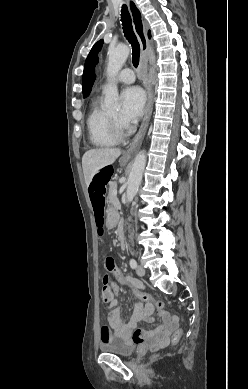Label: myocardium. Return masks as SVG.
Segmentation results:
<instances>
[{
    "instance_id": "obj_1",
    "label": "myocardium",
    "mask_w": 248,
    "mask_h": 389,
    "mask_svg": "<svg viewBox=\"0 0 248 389\" xmlns=\"http://www.w3.org/2000/svg\"><path fill=\"white\" fill-rule=\"evenodd\" d=\"M109 121H110V127H111V132H112L113 136L116 139L124 138V136H125L124 130H123L122 126L120 125V123L118 122L117 118H114L109 114Z\"/></svg>"
}]
</instances>
